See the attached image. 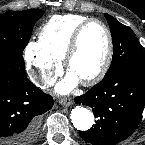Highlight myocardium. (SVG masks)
Masks as SVG:
<instances>
[{"label":"myocardium","instance_id":"myocardium-1","mask_svg":"<svg viewBox=\"0 0 145 145\" xmlns=\"http://www.w3.org/2000/svg\"><path fill=\"white\" fill-rule=\"evenodd\" d=\"M91 23H97L103 28L107 37V50L100 67L92 75L80 80L81 83L84 85H93L98 81H100L105 76L111 65L114 53L113 37L109 27L100 19L88 18L75 29L72 35V38L69 42L65 55L63 57V65L65 70L69 71L71 61L79 49L82 33L84 29Z\"/></svg>","mask_w":145,"mask_h":145}]
</instances>
